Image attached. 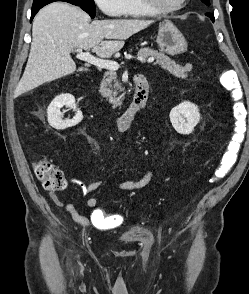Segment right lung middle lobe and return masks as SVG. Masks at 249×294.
<instances>
[{
    "mask_svg": "<svg viewBox=\"0 0 249 294\" xmlns=\"http://www.w3.org/2000/svg\"><path fill=\"white\" fill-rule=\"evenodd\" d=\"M54 1H64L76 6H81L82 9L91 16V18H94L96 13L94 0H34L32 8L43 7Z\"/></svg>",
    "mask_w": 249,
    "mask_h": 294,
    "instance_id": "1",
    "label": "right lung middle lobe"
}]
</instances>
